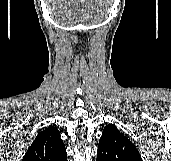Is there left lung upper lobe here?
Masks as SVG:
<instances>
[{
    "mask_svg": "<svg viewBox=\"0 0 171 161\" xmlns=\"http://www.w3.org/2000/svg\"><path fill=\"white\" fill-rule=\"evenodd\" d=\"M98 161H142L132 144L114 124L104 127L97 151Z\"/></svg>",
    "mask_w": 171,
    "mask_h": 161,
    "instance_id": "5c2ea615",
    "label": "left lung upper lobe"
}]
</instances>
